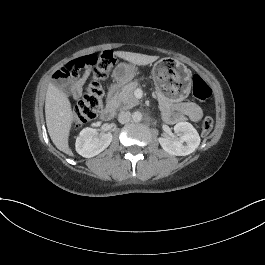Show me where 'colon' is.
Masks as SVG:
<instances>
[{"label":"colon","mask_w":265,"mask_h":265,"mask_svg":"<svg viewBox=\"0 0 265 265\" xmlns=\"http://www.w3.org/2000/svg\"><path fill=\"white\" fill-rule=\"evenodd\" d=\"M114 64L115 58L112 51H103L76 58L55 72L54 77L56 79H66L82 69H91L93 72V80L73 110L76 125L80 126L94 119L101 111L104 91L100 81L106 78ZM192 93L198 101H205L211 96L212 91L210 86L198 74H194L192 77ZM213 126L214 122L211 117L204 118L201 124L202 134L208 135Z\"/></svg>","instance_id":"obj_1"}]
</instances>
